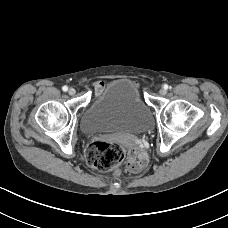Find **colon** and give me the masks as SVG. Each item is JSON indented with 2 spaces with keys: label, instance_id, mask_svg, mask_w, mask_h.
<instances>
[{
  "label": "colon",
  "instance_id": "5ec220e1",
  "mask_svg": "<svg viewBox=\"0 0 228 228\" xmlns=\"http://www.w3.org/2000/svg\"><path fill=\"white\" fill-rule=\"evenodd\" d=\"M124 157V148L112 141H96L89 146L85 154L87 164L101 171L115 168Z\"/></svg>",
  "mask_w": 228,
  "mask_h": 228
}]
</instances>
